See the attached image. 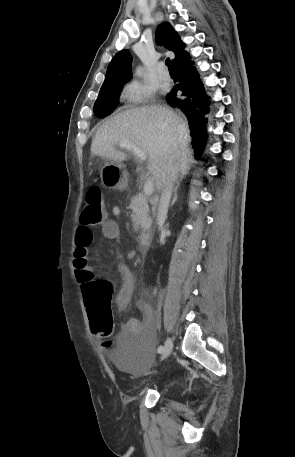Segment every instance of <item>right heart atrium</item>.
I'll return each mask as SVG.
<instances>
[{
	"label": "right heart atrium",
	"instance_id": "obj_1",
	"mask_svg": "<svg viewBox=\"0 0 295 457\" xmlns=\"http://www.w3.org/2000/svg\"><path fill=\"white\" fill-rule=\"evenodd\" d=\"M154 91L138 82L127 84L122 92L123 99L129 104H141L152 99Z\"/></svg>",
	"mask_w": 295,
	"mask_h": 457
}]
</instances>
